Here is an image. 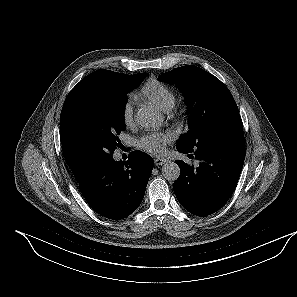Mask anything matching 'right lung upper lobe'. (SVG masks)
Wrapping results in <instances>:
<instances>
[{"mask_svg":"<svg viewBox=\"0 0 297 297\" xmlns=\"http://www.w3.org/2000/svg\"><path fill=\"white\" fill-rule=\"evenodd\" d=\"M126 74H119L109 70H97L83 78L68 94L63 106L68 105L79 95L88 92L106 90ZM76 181L80 180L85 171L78 170L66 159Z\"/></svg>","mask_w":297,"mask_h":297,"instance_id":"1","label":"right lung upper lobe"}]
</instances>
